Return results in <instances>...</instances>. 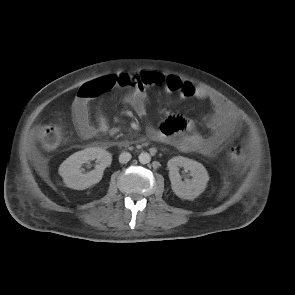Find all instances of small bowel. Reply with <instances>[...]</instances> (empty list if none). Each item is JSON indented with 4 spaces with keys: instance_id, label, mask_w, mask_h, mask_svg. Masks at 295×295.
I'll return each instance as SVG.
<instances>
[{
    "instance_id": "small-bowel-1",
    "label": "small bowel",
    "mask_w": 295,
    "mask_h": 295,
    "mask_svg": "<svg viewBox=\"0 0 295 295\" xmlns=\"http://www.w3.org/2000/svg\"><path fill=\"white\" fill-rule=\"evenodd\" d=\"M133 75L139 84L129 88L124 100L141 118L147 116V89L157 85H162L169 94L181 99L206 100L212 106V113L205 119L208 136L195 133L193 121L181 115H171L163 120L159 128L148 126V134L154 141L177 147L183 152L213 157L228 140L238 134L239 117L219 96L178 76H165L154 71ZM110 77L113 76L102 77L82 85L75 97L72 106L73 123L77 133L84 139L92 138L97 133H113L102 113L100 103L97 107L96 125L91 123L89 113V101L102 98L111 90L106 84V79Z\"/></svg>"
}]
</instances>
